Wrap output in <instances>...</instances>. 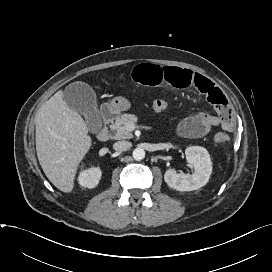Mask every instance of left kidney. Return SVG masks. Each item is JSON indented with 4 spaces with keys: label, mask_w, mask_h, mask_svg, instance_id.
I'll list each match as a JSON object with an SVG mask.
<instances>
[{
    "label": "left kidney",
    "mask_w": 272,
    "mask_h": 272,
    "mask_svg": "<svg viewBox=\"0 0 272 272\" xmlns=\"http://www.w3.org/2000/svg\"><path fill=\"white\" fill-rule=\"evenodd\" d=\"M187 163L194 168V173H178L168 169L164 174L167 185L177 191L197 190L207 184L212 173V162L208 151L201 146H190L185 150Z\"/></svg>",
    "instance_id": "left-kidney-1"
}]
</instances>
